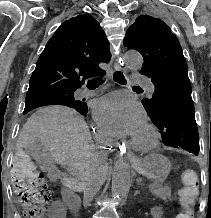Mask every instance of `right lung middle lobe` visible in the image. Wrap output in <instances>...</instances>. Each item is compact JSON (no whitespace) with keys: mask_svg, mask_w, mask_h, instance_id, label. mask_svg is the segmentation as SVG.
Instances as JSON below:
<instances>
[{"mask_svg":"<svg viewBox=\"0 0 211 218\" xmlns=\"http://www.w3.org/2000/svg\"><path fill=\"white\" fill-rule=\"evenodd\" d=\"M74 91L75 90L59 92L26 102L23 113L26 114L32 110L61 105L75 108L78 112L85 115L87 113V105L84 103V100L80 101L75 99Z\"/></svg>","mask_w":211,"mask_h":218,"instance_id":"obj_1","label":"right lung middle lobe"}]
</instances>
